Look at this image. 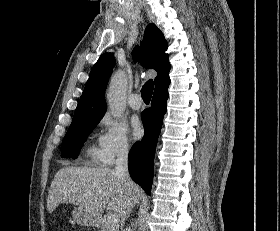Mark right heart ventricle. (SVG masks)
I'll use <instances>...</instances> for the list:
<instances>
[{
  "instance_id": "obj_1",
  "label": "right heart ventricle",
  "mask_w": 280,
  "mask_h": 231,
  "mask_svg": "<svg viewBox=\"0 0 280 231\" xmlns=\"http://www.w3.org/2000/svg\"><path fill=\"white\" fill-rule=\"evenodd\" d=\"M85 159L88 164H93V165L100 164L97 147L93 145L88 146L85 151Z\"/></svg>"
}]
</instances>
